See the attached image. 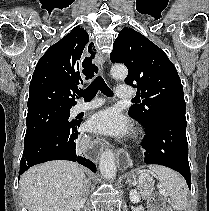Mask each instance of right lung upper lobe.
I'll list each match as a JSON object with an SVG mask.
<instances>
[{
  "mask_svg": "<svg viewBox=\"0 0 209 211\" xmlns=\"http://www.w3.org/2000/svg\"><path fill=\"white\" fill-rule=\"evenodd\" d=\"M88 33L75 27L52 45L38 61L29 88L28 112L43 108H71L78 85L94 76L93 53L84 57Z\"/></svg>",
  "mask_w": 209,
  "mask_h": 211,
  "instance_id": "cb5924a9",
  "label": "right lung upper lobe"
}]
</instances>
